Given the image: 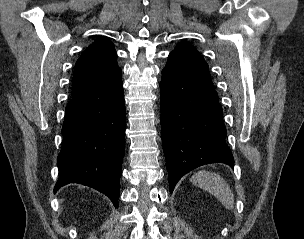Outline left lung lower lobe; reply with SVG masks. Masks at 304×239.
Listing matches in <instances>:
<instances>
[{"label":"left lung lower lobe","instance_id":"obj_1","mask_svg":"<svg viewBox=\"0 0 304 239\" xmlns=\"http://www.w3.org/2000/svg\"><path fill=\"white\" fill-rule=\"evenodd\" d=\"M161 129L172 193L180 178L209 163L234 165L210 76L170 54L162 70Z\"/></svg>","mask_w":304,"mask_h":239}]
</instances>
